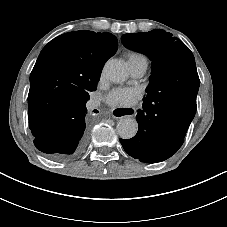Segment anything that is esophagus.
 I'll use <instances>...</instances> for the list:
<instances>
[{"label":"esophagus","mask_w":227,"mask_h":227,"mask_svg":"<svg viewBox=\"0 0 227 227\" xmlns=\"http://www.w3.org/2000/svg\"><path fill=\"white\" fill-rule=\"evenodd\" d=\"M135 114L134 108L116 109L113 111V116H132Z\"/></svg>","instance_id":"esophagus-1"}]
</instances>
